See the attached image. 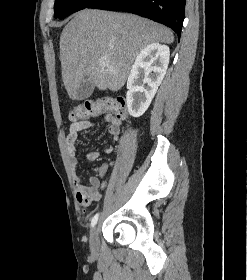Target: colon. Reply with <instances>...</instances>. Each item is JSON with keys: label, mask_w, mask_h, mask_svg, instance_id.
I'll list each match as a JSON object with an SVG mask.
<instances>
[{"label": "colon", "mask_w": 247, "mask_h": 280, "mask_svg": "<svg viewBox=\"0 0 247 280\" xmlns=\"http://www.w3.org/2000/svg\"><path fill=\"white\" fill-rule=\"evenodd\" d=\"M102 114L113 115L118 119H123L126 116L125 101L122 98L86 100L75 106L70 112L69 117L72 121H80L88 117H95Z\"/></svg>", "instance_id": "5ec220e1"}]
</instances>
